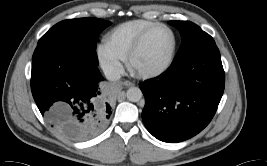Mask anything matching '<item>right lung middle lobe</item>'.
<instances>
[{
	"label": "right lung middle lobe",
	"mask_w": 267,
	"mask_h": 166,
	"mask_svg": "<svg viewBox=\"0 0 267 166\" xmlns=\"http://www.w3.org/2000/svg\"><path fill=\"white\" fill-rule=\"evenodd\" d=\"M111 22L97 18L64 20L50 28L39 40L38 45L54 43L64 46L98 65L96 41L99 34Z\"/></svg>",
	"instance_id": "dd1d6c3e"
}]
</instances>
